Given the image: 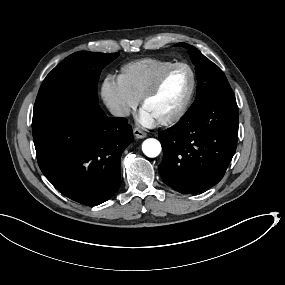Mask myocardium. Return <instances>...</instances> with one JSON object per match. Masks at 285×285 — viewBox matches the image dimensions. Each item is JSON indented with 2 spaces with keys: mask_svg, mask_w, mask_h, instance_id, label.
<instances>
[{
  "mask_svg": "<svg viewBox=\"0 0 285 285\" xmlns=\"http://www.w3.org/2000/svg\"><path fill=\"white\" fill-rule=\"evenodd\" d=\"M176 73H184V74H188L190 77V87H189V91L187 93V96L185 98V101L183 103V105L173 114L167 115L164 118H161L158 120V122L160 124L163 125H169V124H173L175 122H177L178 120H180L184 114L187 112V110L190 107L191 101H192V97H193V92H194V88H195V79H194V75L193 73L187 69L186 67H182V66H175V67H171L170 69L166 70L156 81V83L149 88L148 90H146L142 96L140 97V105L143 107L144 104L152 97L154 96L156 93H158L161 88L163 87V85L166 83V81L174 74Z\"/></svg>",
  "mask_w": 285,
  "mask_h": 285,
  "instance_id": "f54148a6",
  "label": "myocardium"
}]
</instances>
